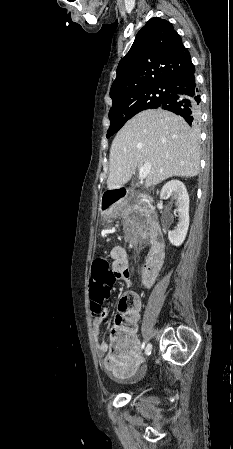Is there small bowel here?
I'll use <instances>...</instances> for the list:
<instances>
[{"label":"small bowel","mask_w":233,"mask_h":449,"mask_svg":"<svg viewBox=\"0 0 233 449\" xmlns=\"http://www.w3.org/2000/svg\"><path fill=\"white\" fill-rule=\"evenodd\" d=\"M109 256L112 260V284L117 279H122L127 285H130L132 283V273L125 249L121 246H115L110 250ZM140 278L145 287H150L156 279V274L155 272H142ZM109 314V308L104 307L102 311L94 317L92 322V333L96 354L103 366H110L114 375L119 378H128L135 373L141 360L139 341L136 334H133L132 341L127 350L114 351L112 354L107 355L109 343L99 339V331L100 326L108 318Z\"/></svg>","instance_id":"c3829d8e"}]
</instances>
